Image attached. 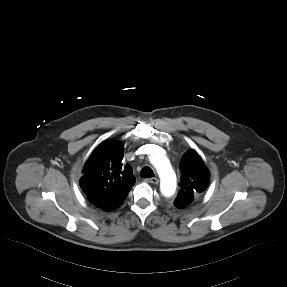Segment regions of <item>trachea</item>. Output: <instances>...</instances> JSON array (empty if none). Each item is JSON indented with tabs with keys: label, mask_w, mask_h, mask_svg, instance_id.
<instances>
[{
	"label": "trachea",
	"mask_w": 287,
	"mask_h": 287,
	"mask_svg": "<svg viewBox=\"0 0 287 287\" xmlns=\"http://www.w3.org/2000/svg\"><path fill=\"white\" fill-rule=\"evenodd\" d=\"M140 177H142V178H152V177H154V172H153V170L150 167L145 166L140 171Z\"/></svg>",
	"instance_id": "trachea-1"
}]
</instances>
